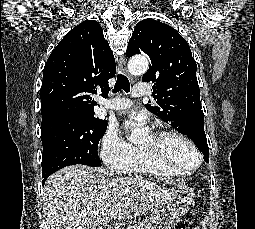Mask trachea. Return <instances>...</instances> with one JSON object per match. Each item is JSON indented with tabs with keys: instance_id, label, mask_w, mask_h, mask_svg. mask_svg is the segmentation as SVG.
Masks as SVG:
<instances>
[{
	"instance_id": "obj_1",
	"label": "trachea",
	"mask_w": 255,
	"mask_h": 229,
	"mask_svg": "<svg viewBox=\"0 0 255 229\" xmlns=\"http://www.w3.org/2000/svg\"><path fill=\"white\" fill-rule=\"evenodd\" d=\"M120 90H124L126 93H128L130 91V83L128 78L123 75V74H119L113 89V93H117Z\"/></svg>"
}]
</instances>
